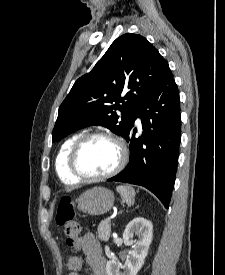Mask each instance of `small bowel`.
Here are the masks:
<instances>
[{
    "label": "small bowel",
    "mask_w": 225,
    "mask_h": 275,
    "mask_svg": "<svg viewBox=\"0 0 225 275\" xmlns=\"http://www.w3.org/2000/svg\"><path fill=\"white\" fill-rule=\"evenodd\" d=\"M81 250L85 254V260L91 270V275H106V260L102 254L99 241L91 233H86L82 237ZM68 275H79L70 272Z\"/></svg>",
    "instance_id": "c3829d8e"
}]
</instances>
